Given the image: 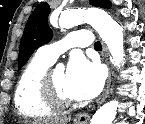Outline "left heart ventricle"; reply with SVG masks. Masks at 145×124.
Returning a JSON list of instances; mask_svg holds the SVG:
<instances>
[{"label":"left heart ventricle","instance_id":"left-heart-ventricle-1","mask_svg":"<svg viewBox=\"0 0 145 124\" xmlns=\"http://www.w3.org/2000/svg\"><path fill=\"white\" fill-rule=\"evenodd\" d=\"M53 81L58 92L65 98L73 99L67 91L66 72L64 70L53 71Z\"/></svg>","mask_w":145,"mask_h":124}]
</instances>
